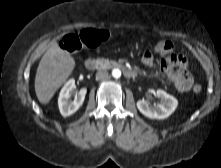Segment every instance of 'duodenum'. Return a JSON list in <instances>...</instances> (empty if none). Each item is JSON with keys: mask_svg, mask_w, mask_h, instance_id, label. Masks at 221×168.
<instances>
[{"mask_svg": "<svg viewBox=\"0 0 221 168\" xmlns=\"http://www.w3.org/2000/svg\"><path fill=\"white\" fill-rule=\"evenodd\" d=\"M85 67L88 70H96L99 67V63L95 58L89 57L85 60ZM124 76L126 78H134L136 76V72L132 69H125Z\"/></svg>", "mask_w": 221, "mask_h": 168, "instance_id": "410a0bca", "label": "duodenum"}]
</instances>
